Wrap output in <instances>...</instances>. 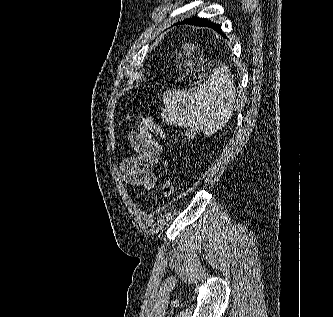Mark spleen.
Wrapping results in <instances>:
<instances>
[{
	"instance_id": "spleen-1",
	"label": "spleen",
	"mask_w": 333,
	"mask_h": 317,
	"mask_svg": "<svg viewBox=\"0 0 333 317\" xmlns=\"http://www.w3.org/2000/svg\"><path fill=\"white\" fill-rule=\"evenodd\" d=\"M162 100L164 122L210 135L222 129L230 119L236 90L228 68L222 66L197 86L166 91Z\"/></svg>"
}]
</instances>
